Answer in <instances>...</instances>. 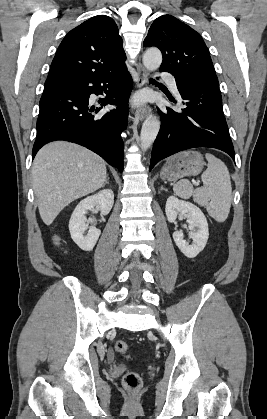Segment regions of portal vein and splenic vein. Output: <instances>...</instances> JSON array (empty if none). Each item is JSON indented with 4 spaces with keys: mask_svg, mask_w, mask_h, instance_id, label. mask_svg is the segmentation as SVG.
Instances as JSON below:
<instances>
[{
    "mask_svg": "<svg viewBox=\"0 0 267 419\" xmlns=\"http://www.w3.org/2000/svg\"><path fill=\"white\" fill-rule=\"evenodd\" d=\"M195 186H199V182H195Z\"/></svg>",
    "mask_w": 267,
    "mask_h": 419,
    "instance_id": "obj_1",
    "label": "portal vein and splenic vein"
}]
</instances>
